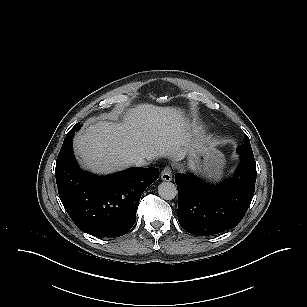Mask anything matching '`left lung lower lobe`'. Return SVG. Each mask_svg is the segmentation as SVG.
I'll return each mask as SVG.
<instances>
[{"instance_id":"0a47b994","label":"left lung lower lobe","mask_w":307,"mask_h":307,"mask_svg":"<svg viewBox=\"0 0 307 307\" xmlns=\"http://www.w3.org/2000/svg\"><path fill=\"white\" fill-rule=\"evenodd\" d=\"M235 176L209 185L192 174H175L178 188V221L190 234L207 236L236 227L252 201L256 182L254 156L241 154Z\"/></svg>"}]
</instances>
